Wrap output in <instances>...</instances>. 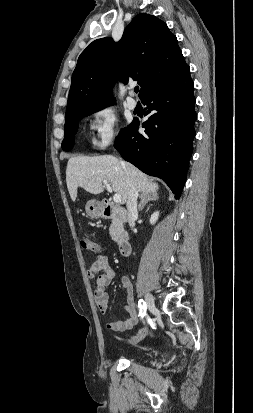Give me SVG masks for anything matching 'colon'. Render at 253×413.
<instances>
[{
  "label": "colon",
  "instance_id": "obj_1",
  "mask_svg": "<svg viewBox=\"0 0 253 413\" xmlns=\"http://www.w3.org/2000/svg\"><path fill=\"white\" fill-rule=\"evenodd\" d=\"M81 246L84 249L90 250L93 252H97L99 250L98 244L91 237L87 235L83 236V238L81 239ZM147 332H148V327L144 326L137 332V334L131 337V341L137 342L143 339L146 336Z\"/></svg>",
  "mask_w": 253,
  "mask_h": 413
}]
</instances>
